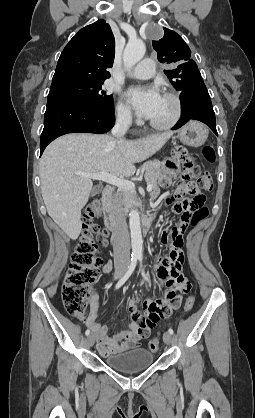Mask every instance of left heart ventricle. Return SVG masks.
<instances>
[{
	"mask_svg": "<svg viewBox=\"0 0 255 418\" xmlns=\"http://www.w3.org/2000/svg\"><path fill=\"white\" fill-rule=\"evenodd\" d=\"M173 112V102L170 99L162 96L155 112L149 119L157 123H165L172 117Z\"/></svg>",
	"mask_w": 255,
	"mask_h": 418,
	"instance_id": "left-heart-ventricle-1",
	"label": "left heart ventricle"
}]
</instances>
